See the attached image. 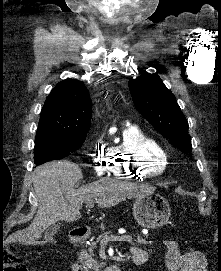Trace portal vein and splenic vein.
I'll list each match as a JSON object with an SVG mask.
<instances>
[{
  "label": "portal vein and splenic vein",
  "instance_id": "obj_1",
  "mask_svg": "<svg viewBox=\"0 0 221 271\" xmlns=\"http://www.w3.org/2000/svg\"><path fill=\"white\" fill-rule=\"evenodd\" d=\"M132 237L128 234H122L121 237H114L113 234H108L105 238L106 242H132Z\"/></svg>",
  "mask_w": 221,
  "mask_h": 271
}]
</instances>
